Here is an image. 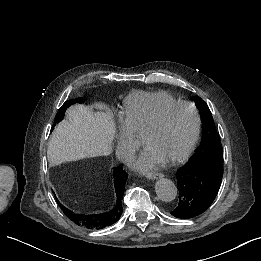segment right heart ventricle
Instances as JSON below:
<instances>
[{
  "mask_svg": "<svg viewBox=\"0 0 261 261\" xmlns=\"http://www.w3.org/2000/svg\"><path fill=\"white\" fill-rule=\"evenodd\" d=\"M177 98L166 90H138L125 96L121 101V114L138 121L142 116L151 114L168 102ZM133 146L129 147L131 151Z\"/></svg>",
  "mask_w": 261,
  "mask_h": 261,
  "instance_id": "right-heart-ventricle-1",
  "label": "right heart ventricle"
}]
</instances>
